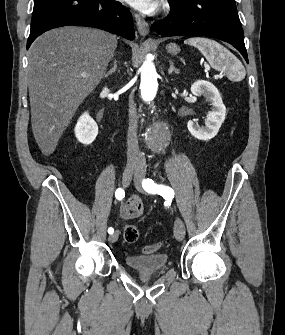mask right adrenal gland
Segmentation results:
<instances>
[{"mask_svg": "<svg viewBox=\"0 0 285 335\" xmlns=\"http://www.w3.org/2000/svg\"><path fill=\"white\" fill-rule=\"evenodd\" d=\"M116 70H117V60H114L113 68H111V70H109V72H107V74H104L105 78H108V76H111V74H114V72H116Z\"/></svg>", "mask_w": 285, "mask_h": 335, "instance_id": "1", "label": "right adrenal gland"}]
</instances>
